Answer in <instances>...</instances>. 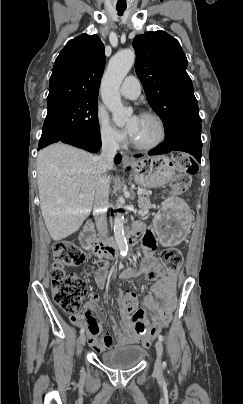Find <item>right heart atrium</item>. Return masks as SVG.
I'll use <instances>...</instances> for the list:
<instances>
[{"instance_id":"d8ad5b80","label":"right heart atrium","mask_w":243,"mask_h":404,"mask_svg":"<svg viewBox=\"0 0 243 404\" xmlns=\"http://www.w3.org/2000/svg\"><path fill=\"white\" fill-rule=\"evenodd\" d=\"M96 124L102 144L117 150L125 147V135L111 124L107 113L101 108L96 112Z\"/></svg>"}]
</instances>
